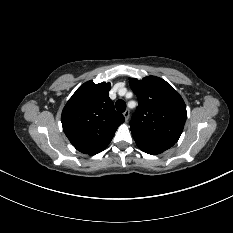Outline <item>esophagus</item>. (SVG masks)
Instances as JSON below:
<instances>
[{"instance_id": "esophagus-1", "label": "esophagus", "mask_w": 233, "mask_h": 233, "mask_svg": "<svg viewBox=\"0 0 233 233\" xmlns=\"http://www.w3.org/2000/svg\"><path fill=\"white\" fill-rule=\"evenodd\" d=\"M123 116L125 118V120L127 121L130 117V111L129 110H126L124 113H123Z\"/></svg>"}]
</instances>
